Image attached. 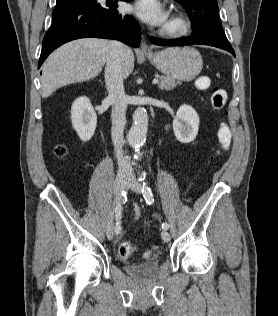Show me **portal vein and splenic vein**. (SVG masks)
Masks as SVG:
<instances>
[{
	"label": "portal vein and splenic vein",
	"instance_id": "obj_1",
	"mask_svg": "<svg viewBox=\"0 0 278 316\" xmlns=\"http://www.w3.org/2000/svg\"><path fill=\"white\" fill-rule=\"evenodd\" d=\"M152 83L155 85V84H157L158 83V79H154L153 81H152Z\"/></svg>",
	"mask_w": 278,
	"mask_h": 316
}]
</instances>
